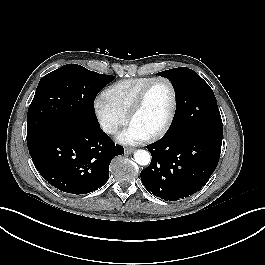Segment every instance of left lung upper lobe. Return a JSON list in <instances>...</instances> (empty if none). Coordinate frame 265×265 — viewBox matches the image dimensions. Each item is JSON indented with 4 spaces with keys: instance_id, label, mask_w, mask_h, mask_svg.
Segmentation results:
<instances>
[{
    "instance_id": "left-lung-upper-lobe-1",
    "label": "left lung upper lobe",
    "mask_w": 265,
    "mask_h": 265,
    "mask_svg": "<svg viewBox=\"0 0 265 265\" xmlns=\"http://www.w3.org/2000/svg\"><path fill=\"white\" fill-rule=\"evenodd\" d=\"M158 75L169 78L177 94L175 119L166 136L186 130H203L223 136V124L215 95L196 72L179 67Z\"/></svg>"
}]
</instances>
